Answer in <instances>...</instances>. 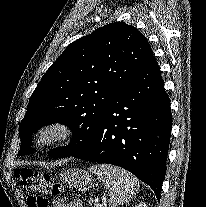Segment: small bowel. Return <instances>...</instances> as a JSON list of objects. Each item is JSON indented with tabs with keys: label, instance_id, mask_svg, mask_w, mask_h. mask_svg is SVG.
I'll return each mask as SVG.
<instances>
[{
	"label": "small bowel",
	"instance_id": "c3829d8e",
	"mask_svg": "<svg viewBox=\"0 0 206 207\" xmlns=\"http://www.w3.org/2000/svg\"><path fill=\"white\" fill-rule=\"evenodd\" d=\"M54 207H80L78 202L75 201H65L63 199H55L53 201Z\"/></svg>",
	"mask_w": 206,
	"mask_h": 207
}]
</instances>
